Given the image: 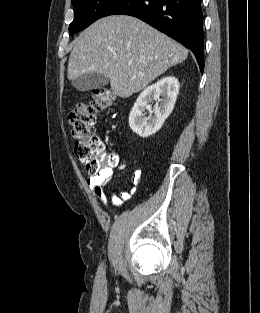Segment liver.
Returning a JSON list of instances; mask_svg holds the SVG:
<instances>
[{"mask_svg":"<svg viewBox=\"0 0 260 313\" xmlns=\"http://www.w3.org/2000/svg\"><path fill=\"white\" fill-rule=\"evenodd\" d=\"M187 56L184 46L140 19L113 15L97 20L75 39L67 77L73 81L87 73L102 74L114 94L127 98Z\"/></svg>","mask_w":260,"mask_h":313,"instance_id":"1","label":"liver"}]
</instances>
